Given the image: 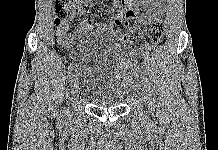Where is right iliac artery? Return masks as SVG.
I'll return each instance as SVG.
<instances>
[{
	"mask_svg": "<svg viewBox=\"0 0 218 150\" xmlns=\"http://www.w3.org/2000/svg\"><path fill=\"white\" fill-rule=\"evenodd\" d=\"M72 73H73V66L70 65V66L68 67V77H69V79L72 78Z\"/></svg>",
	"mask_w": 218,
	"mask_h": 150,
	"instance_id": "82829eb1",
	"label": "right iliac artery"
}]
</instances>
